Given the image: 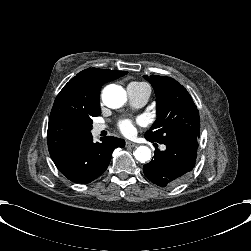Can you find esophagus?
Instances as JSON below:
<instances>
[{
	"mask_svg": "<svg viewBox=\"0 0 251 251\" xmlns=\"http://www.w3.org/2000/svg\"><path fill=\"white\" fill-rule=\"evenodd\" d=\"M137 146V144H135L134 142H130V141H126V147H135Z\"/></svg>",
	"mask_w": 251,
	"mask_h": 251,
	"instance_id": "1",
	"label": "esophagus"
}]
</instances>
